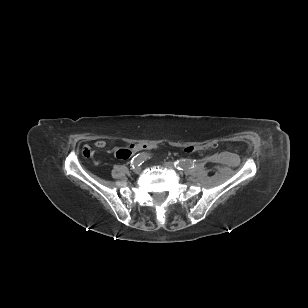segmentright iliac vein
<instances>
[{"label": "right iliac vein", "instance_id": "obj_1", "mask_svg": "<svg viewBox=\"0 0 308 308\" xmlns=\"http://www.w3.org/2000/svg\"><path fill=\"white\" fill-rule=\"evenodd\" d=\"M134 172H135V173H140V172H141V167L136 166V167L134 168Z\"/></svg>", "mask_w": 308, "mask_h": 308}]
</instances>
